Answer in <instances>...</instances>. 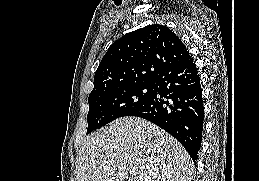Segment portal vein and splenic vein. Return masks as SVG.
I'll return each instance as SVG.
<instances>
[{
    "label": "portal vein and splenic vein",
    "instance_id": "obj_1",
    "mask_svg": "<svg viewBox=\"0 0 259 181\" xmlns=\"http://www.w3.org/2000/svg\"><path fill=\"white\" fill-rule=\"evenodd\" d=\"M133 172H135V169H134V168L131 170V173H133Z\"/></svg>",
    "mask_w": 259,
    "mask_h": 181
}]
</instances>
